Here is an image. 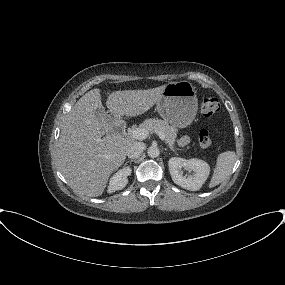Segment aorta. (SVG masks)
I'll list each match as a JSON object with an SVG mask.
<instances>
[{"mask_svg":"<svg viewBox=\"0 0 285 285\" xmlns=\"http://www.w3.org/2000/svg\"><path fill=\"white\" fill-rule=\"evenodd\" d=\"M147 154L150 158H157L160 155V150L157 146H150L147 150Z\"/></svg>","mask_w":285,"mask_h":285,"instance_id":"obj_1","label":"aorta"}]
</instances>
